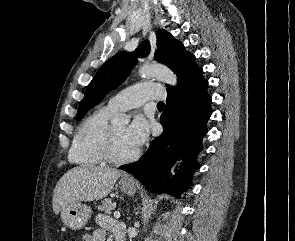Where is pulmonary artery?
Here are the masks:
<instances>
[{
  "label": "pulmonary artery",
  "instance_id": "e3ab8cb5",
  "mask_svg": "<svg viewBox=\"0 0 295 241\" xmlns=\"http://www.w3.org/2000/svg\"><path fill=\"white\" fill-rule=\"evenodd\" d=\"M165 92L160 84L140 83L124 89L110 98L107 107L113 111H124L137 108L147 100H162Z\"/></svg>",
  "mask_w": 295,
  "mask_h": 241
}]
</instances>
